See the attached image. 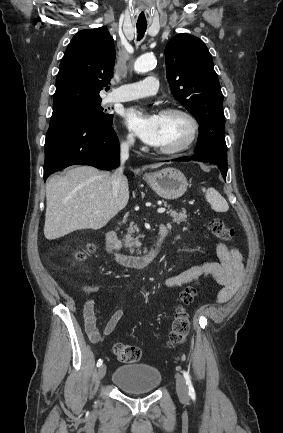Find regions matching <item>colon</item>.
Returning <instances> with one entry per match:
<instances>
[{
	"label": "colon",
	"mask_w": 283,
	"mask_h": 433,
	"mask_svg": "<svg viewBox=\"0 0 283 433\" xmlns=\"http://www.w3.org/2000/svg\"><path fill=\"white\" fill-rule=\"evenodd\" d=\"M209 229L217 239L223 241H229L235 236L234 229L218 218H213L209 222ZM92 250L93 245H89L87 251L77 253V257L79 259H84L87 253ZM196 292V288L190 286L182 290L179 295L180 303L176 308L169 335V344L171 346L181 345L187 339L190 330V320L186 311V306L193 301ZM113 353L119 361L126 363L136 362L142 356V350L139 347L126 343H116L113 347Z\"/></svg>",
	"instance_id": "colon-1"
}]
</instances>
